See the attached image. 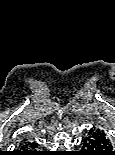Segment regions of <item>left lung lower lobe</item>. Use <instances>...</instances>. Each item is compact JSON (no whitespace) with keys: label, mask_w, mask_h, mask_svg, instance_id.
I'll list each match as a JSON object with an SVG mask.
<instances>
[{"label":"left lung lower lobe","mask_w":115,"mask_h":155,"mask_svg":"<svg viewBox=\"0 0 115 155\" xmlns=\"http://www.w3.org/2000/svg\"><path fill=\"white\" fill-rule=\"evenodd\" d=\"M80 155H115L112 140L106 131L91 128L81 141Z\"/></svg>","instance_id":"0a47b994"}]
</instances>
